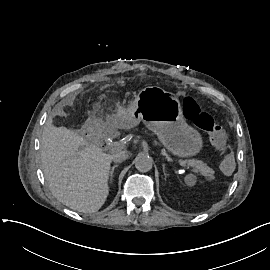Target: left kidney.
<instances>
[{
  "label": "left kidney",
  "instance_id": "obj_1",
  "mask_svg": "<svg viewBox=\"0 0 270 270\" xmlns=\"http://www.w3.org/2000/svg\"><path fill=\"white\" fill-rule=\"evenodd\" d=\"M197 178L192 175V174H188L186 177H185V182L188 184V185H193L195 182H196Z\"/></svg>",
  "mask_w": 270,
  "mask_h": 270
}]
</instances>
